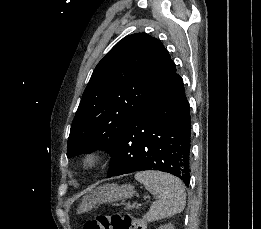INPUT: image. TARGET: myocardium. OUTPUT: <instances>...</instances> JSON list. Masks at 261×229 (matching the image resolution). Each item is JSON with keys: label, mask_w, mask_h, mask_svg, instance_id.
I'll use <instances>...</instances> for the list:
<instances>
[{"label": "myocardium", "mask_w": 261, "mask_h": 229, "mask_svg": "<svg viewBox=\"0 0 261 229\" xmlns=\"http://www.w3.org/2000/svg\"><path fill=\"white\" fill-rule=\"evenodd\" d=\"M102 155L97 149H90L83 153L80 164L85 170H93L101 163Z\"/></svg>", "instance_id": "1"}]
</instances>
